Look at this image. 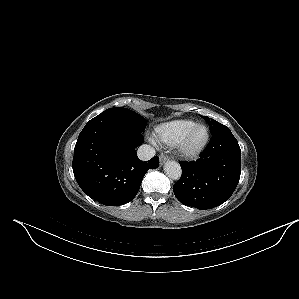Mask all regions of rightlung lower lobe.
<instances>
[{
	"label": "right lung lower lobe",
	"instance_id": "right-lung-lower-lobe-1",
	"mask_svg": "<svg viewBox=\"0 0 299 299\" xmlns=\"http://www.w3.org/2000/svg\"><path fill=\"white\" fill-rule=\"evenodd\" d=\"M142 132L124 120L99 114L79 134L74 148L73 173L83 192L107 206L130 202L149 169L159 166L158 156L149 161L137 157L135 147Z\"/></svg>",
	"mask_w": 299,
	"mask_h": 299
}]
</instances>
